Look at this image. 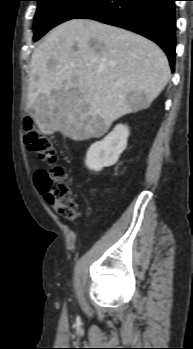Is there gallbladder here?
Returning a JSON list of instances; mask_svg holds the SVG:
<instances>
[{
    "instance_id": "bac80fb5",
    "label": "gallbladder",
    "mask_w": 193,
    "mask_h": 349,
    "mask_svg": "<svg viewBox=\"0 0 193 349\" xmlns=\"http://www.w3.org/2000/svg\"><path fill=\"white\" fill-rule=\"evenodd\" d=\"M31 113H34V109L33 108L31 109Z\"/></svg>"
}]
</instances>
